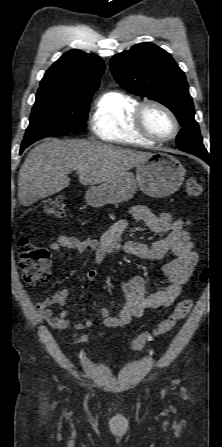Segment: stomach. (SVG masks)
Masks as SVG:
<instances>
[{"mask_svg":"<svg viewBox=\"0 0 222 447\" xmlns=\"http://www.w3.org/2000/svg\"><path fill=\"white\" fill-rule=\"evenodd\" d=\"M184 176L185 169L175 157L162 152L152 153L136 166V176L124 172L99 186L89 188L85 199L93 207L126 202L138 188L148 196L162 198L176 192Z\"/></svg>","mask_w":222,"mask_h":447,"instance_id":"stomach-1","label":"stomach"}]
</instances>
